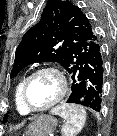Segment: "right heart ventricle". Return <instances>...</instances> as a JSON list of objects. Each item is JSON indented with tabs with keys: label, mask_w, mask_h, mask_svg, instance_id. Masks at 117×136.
Segmentation results:
<instances>
[{
	"label": "right heart ventricle",
	"mask_w": 117,
	"mask_h": 136,
	"mask_svg": "<svg viewBox=\"0 0 117 136\" xmlns=\"http://www.w3.org/2000/svg\"><path fill=\"white\" fill-rule=\"evenodd\" d=\"M24 81L25 78L20 79L15 87L14 104L18 113H20L21 115H28L30 112L24 107L22 102V88Z\"/></svg>",
	"instance_id": "1"
}]
</instances>
